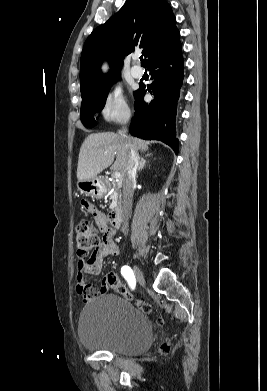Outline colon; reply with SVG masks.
<instances>
[{"label":"colon","mask_w":267,"mask_h":391,"mask_svg":"<svg viewBox=\"0 0 267 391\" xmlns=\"http://www.w3.org/2000/svg\"><path fill=\"white\" fill-rule=\"evenodd\" d=\"M75 239L77 255L81 260L88 259L99 248L101 243L98 232L86 220L78 224ZM108 282L109 286L124 298L135 301L146 312L151 310V307L144 301L137 299L114 273L109 274ZM162 350L169 352L170 345L164 344Z\"/></svg>","instance_id":"1"}]
</instances>
